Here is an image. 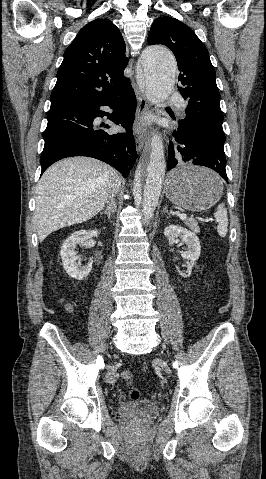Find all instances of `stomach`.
<instances>
[{
	"label": "stomach",
	"instance_id": "1",
	"mask_svg": "<svg viewBox=\"0 0 266 479\" xmlns=\"http://www.w3.org/2000/svg\"><path fill=\"white\" fill-rule=\"evenodd\" d=\"M222 194L221 179L205 167L184 164L168 174L166 196L185 210H206L219 201Z\"/></svg>",
	"mask_w": 266,
	"mask_h": 479
}]
</instances>
